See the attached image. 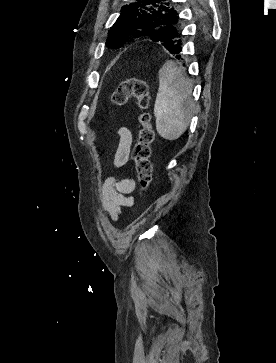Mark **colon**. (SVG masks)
Instances as JSON below:
<instances>
[{
  "mask_svg": "<svg viewBox=\"0 0 276 363\" xmlns=\"http://www.w3.org/2000/svg\"><path fill=\"white\" fill-rule=\"evenodd\" d=\"M134 97L141 113L138 117L140 130L133 149L132 159L137 172L138 181L142 191H148L152 182V148L155 139L154 130L150 124V115L147 112L149 105V87L145 80L129 79L121 82L112 95L115 105H124L129 98Z\"/></svg>",
  "mask_w": 276,
  "mask_h": 363,
  "instance_id": "5ec220e1",
  "label": "colon"
}]
</instances>
